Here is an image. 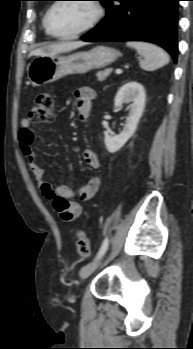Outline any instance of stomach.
I'll list each match as a JSON object with an SVG mask.
<instances>
[{"label": "stomach", "instance_id": "1", "mask_svg": "<svg viewBox=\"0 0 193 349\" xmlns=\"http://www.w3.org/2000/svg\"><path fill=\"white\" fill-rule=\"evenodd\" d=\"M120 56L117 49L97 46L89 51L66 56H40L28 65V79L33 86H42L71 74H84L113 63Z\"/></svg>", "mask_w": 193, "mask_h": 349}]
</instances>
